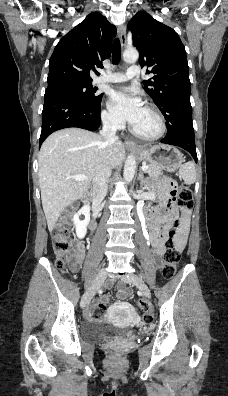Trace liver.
<instances>
[{
    "label": "liver",
    "instance_id": "6515ba94",
    "mask_svg": "<svg viewBox=\"0 0 228 396\" xmlns=\"http://www.w3.org/2000/svg\"><path fill=\"white\" fill-rule=\"evenodd\" d=\"M125 147L120 141L106 144L96 133L67 128L51 134L39 152V183L42 206L51 232L61 212L80 199L102 166L111 168L124 160ZM82 174L84 181L67 176Z\"/></svg>",
    "mask_w": 228,
    "mask_h": 396
}]
</instances>
